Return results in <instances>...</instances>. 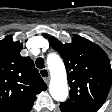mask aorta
I'll return each mask as SVG.
<instances>
[{
	"label": "aorta",
	"mask_w": 112,
	"mask_h": 112,
	"mask_svg": "<svg viewBox=\"0 0 112 112\" xmlns=\"http://www.w3.org/2000/svg\"><path fill=\"white\" fill-rule=\"evenodd\" d=\"M48 68L51 73L49 91L54 100L63 102L69 95L67 74L64 63L57 54H49L47 57Z\"/></svg>",
	"instance_id": "aorta-1"
}]
</instances>
